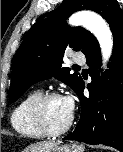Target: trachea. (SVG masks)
Returning <instances> with one entry per match:
<instances>
[{"label": "trachea", "instance_id": "trachea-1", "mask_svg": "<svg viewBox=\"0 0 123 152\" xmlns=\"http://www.w3.org/2000/svg\"><path fill=\"white\" fill-rule=\"evenodd\" d=\"M75 68H80V67L78 65H76Z\"/></svg>", "mask_w": 123, "mask_h": 152}]
</instances>
